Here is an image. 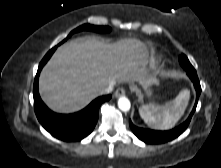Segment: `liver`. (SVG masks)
I'll return each mask as SVG.
<instances>
[{
    "mask_svg": "<svg viewBox=\"0 0 221 168\" xmlns=\"http://www.w3.org/2000/svg\"><path fill=\"white\" fill-rule=\"evenodd\" d=\"M146 47L136 39L105 44L77 39L59 47L43 68L39 91L53 111L71 113L117 82L148 83Z\"/></svg>",
    "mask_w": 221,
    "mask_h": 168,
    "instance_id": "liver-1",
    "label": "liver"
}]
</instances>
